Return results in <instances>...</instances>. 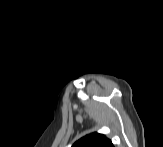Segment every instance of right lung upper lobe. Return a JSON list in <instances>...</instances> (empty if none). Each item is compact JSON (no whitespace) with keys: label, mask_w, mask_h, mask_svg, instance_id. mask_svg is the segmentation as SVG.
I'll use <instances>...</instances> for the list:
<instances>
[{"label":"right lung upper lobe","mask_w":163,"mask_h":147,"mask_svg":"<svg viewBox=\"0 0 163 147\" xmlns=\"http://www.w3.org/2000/svg\"><path fill=\"white\" fill-rule=\"evenodd\" d=\"M73 147H113V144L104 135L92 133L81 138Z\"/></svg>","instance_id":"right-lung-upper-lobe-1"}]
</instances>
